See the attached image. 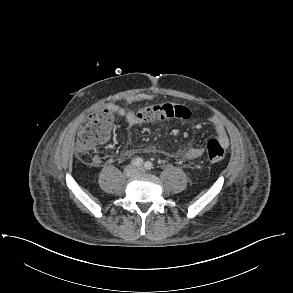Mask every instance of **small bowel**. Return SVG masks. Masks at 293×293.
I'll return each instance as SVG.
<instances>
[{
	"label": "small bowel",
	"mask_w": 293,
	"mask_h": 293,
	"mask_svg": "<svg viewBox=\"0 0 293 293\" xmlns=\"http://www.w3.org/2000/svg\"><path fill=\"white\" fill-rule=\"evenodd\" d=\"M149 100V97L147 95H142L139 97H136L134 99H130L127 101V105L130 106L134 103L144 102ZM108 110L111 111L113 114L123 117L126 122L130 126H137L144 122V120L140 119L134 112H132L128 107H123L118 104H110L108 107ZM209 123L212 125L215 134H216V140L222 145V147L227 148L229 146V137L227 135L226 129L222 122L217 119L216 117H211L209 119ZM206 149L204 147H192L187 149L183 156L186 159L194 160L198 159L201 156L204 155ZM100 161V158L98 156H94L92 159V163L94 165H97Z\"/></svg>",
	"instance_id": "c3829d8e"
}]
</instances>
